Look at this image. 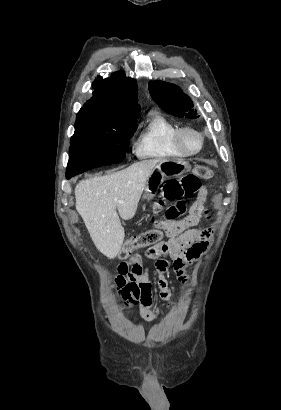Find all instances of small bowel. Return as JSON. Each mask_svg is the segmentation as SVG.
Instances as JSON below:
<instances>
[{
    "mask_svg": "<svg viewBox=\"0 0 281 410\" xmlns=\"http://www.w3.org/2000/svg\"><path fill=\"white\" fill-rule=\"evenodd\" d=\"M207 192L206 187L200 189L188 215L181 220H160L157 226L165 232L168 240L149 248L145 256L133 255L117 266L113 281L115 299L126 307L139 306L140 315L146 321H153L160 314L158 308H152V283L147 262L154 261L159 296L169 303L171 294L166 278L169 268L172 267L180 281L187 282V267L207 249L213 229L196 227L207 214L204 206Z\"/></svg>",
    "mask_w": 281,
    "mask_h": 410,
    "instance_id": "1",
    "label": "small bowel"
}]
</instances>
